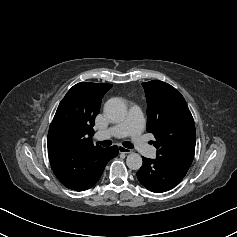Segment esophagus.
<instances>
[{
  "label": "esophagus",
  "mask_w": 237,
  "mask_h": 237,
  "mask_svg": "<svg viewBox=\"0 0 237 237\" xmlns=\"http://www.w3.org/2000/svg\"><path fill=\"white\" fill-rule=\"evenodd\" d=\"M119 152L120 153H124V154H130L132 153L133 151L131 149H128V148H125L123 146H119Z\"/></svg>",
  "instance_id": "1"
}]
</instances>
